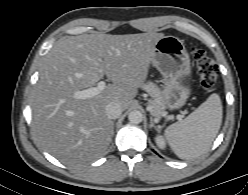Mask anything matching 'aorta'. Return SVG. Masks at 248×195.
<instances>
[{
	"mask_svg": "<svg viewBox=\"0 0 248 195\" xmlns=\"http://www.w3.org/2000/svg\"><path fill=\"white\" fill-rule=\"evenodd\" d=\"M142 118V113L138 110H133L128 115V120L132 124H139L140 122H142Z\"/></svg>",
	"mask_w": 248,
	"mask_h": 195,
	"instance_id": "1",
	"label": "aorta"
}]
</instances>
